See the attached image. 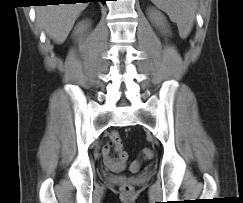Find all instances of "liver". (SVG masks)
Listing matches in <instances>:
<instances>
[{"label":"liver","mask_w":243,"mask_h":203,"mask_svg":"<svg viewBox=\"0 0 243 203\" xmlns=\"http://www.w3.org/2000/svg\"><path fill=\"white\" fill-rule=\"evenodd\" d=\"M87 3L38 6L37 23L56 43H63Z\"/></svg>","instance_id":"1"}]
</instances>
